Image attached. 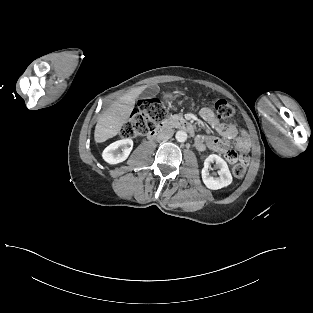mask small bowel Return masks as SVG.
<instances>
[{"label":"small bowel","mask_w":313,"mask_h":313,"mask_svg":"<svg viewBox=\"0 0 313 313\" xmlns=\"http://www.w3.org/2000/svg\"><path fill=\"white\" fill-rule=\"evenodd\" d=\"M200 116L220 137L197 136L195 143L198 150L203 151L208 148L214 152L226 155L234 151L230 149V140H233L234 146L241 156H246L251 150L253 140L247 131L239 129L235 124L220 121L214 112L207 107L200 110Z\"/></svg>","instance_id":"1"}]
</instances>
